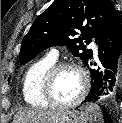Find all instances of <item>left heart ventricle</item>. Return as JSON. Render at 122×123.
<instances>
[{"instance_id": "left-heart-ventricle-1", "label": "left heart ventricle", "mask_w": 122, "mask_h": 123, "mask_svg": "<svg viewBox=\"0 0 122 123\" xmlns=\"http://www.w3.org/2000/svg\"><path fill=\"white\" fill-rule=\"evenodd\" d=\"M82 79L74 69H63L55 77L52 86V95L59 102H68L80 92Z\"/></svg>"}]
</instances>
